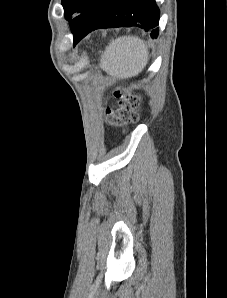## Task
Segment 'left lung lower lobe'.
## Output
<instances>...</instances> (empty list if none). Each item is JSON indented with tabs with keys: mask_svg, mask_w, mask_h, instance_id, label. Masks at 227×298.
<instances>
[{
	"mask_svg": "<svg viewBox=\"0 0 227 298\" xmlns=\"http://www.w3.org/2000/svg\"><path fill=\"white\" fill-rule=\"evenodd\" d=\"M159 9L155 0H106L92 31L99 28L136 26L158 36ZM77 41H74V46Z\"/></svg>",
	"mask_w": 227,
	"mask_h": 298,
	"instance_id": "0a47b994",
	"label": "left lung lower lobe"
}]
</instances>
